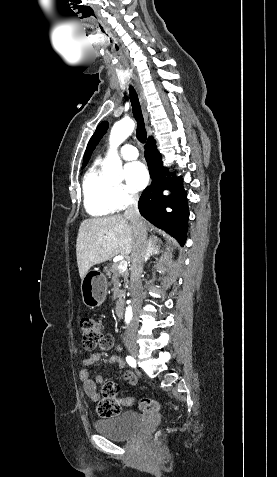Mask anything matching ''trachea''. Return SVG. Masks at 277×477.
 <instances>
[{"mask_svg": "<svg viewBox=\"0 0 277 477\" xmlns=\"http://www.w3.org/2000/svg\"><path fill=\"white\" fill-rule=\"evenodd\" d=\"M129 92H130V100L132 104L133 115L137 122V129H136L137 139L141 143H144L146 141L147 134H146V129L144 125V119L141 112V106L139 104L138 96L133 86L129 87Z\"/></svg>", "mask_w": 277, "mask_h": 477, "instance_id": "3493384b", "label": "trachea"}]
</instances>
